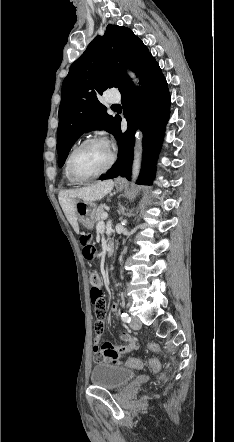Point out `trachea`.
Masks as SVG:
<instances>
[{
	"label": "trachea",
	"instance_id": "obj_1",
	"mask_svg": "<svg viewBox=\"0 0 234 442\" xmlns=\"http://www.w3.org/2000/svg\"><path fill=\"white\" fill-rule=\"evenodd\" d=\"M113 107H120V105L119 104H115V105H113Z\"/></svg>",
	"mask_w": 234,
	"mask_h": 442
}]
</instances>
